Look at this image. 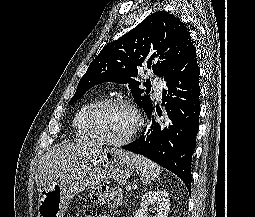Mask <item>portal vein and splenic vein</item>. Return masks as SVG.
<instances>
[{
	"mask_svg": "<svg viewBox=\"0 0 255 217\" xmlns=\"http://www.w3.org/2000/svg\"><path fill=\"white\" fill-rule=\"evenodd\" d=\"M126 190H127V191H131V190H132L131 186L128 185V186L126 187Z\"/></svg>",
	"mask_w": 255,
	"mask_h": 217,
	"instance_id": "obj_1",
	"label": "portal vein and splenic vein"
}]
</instances>
